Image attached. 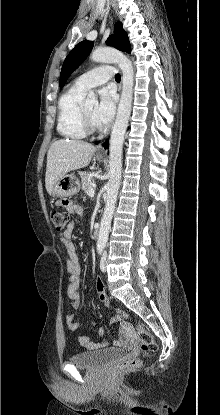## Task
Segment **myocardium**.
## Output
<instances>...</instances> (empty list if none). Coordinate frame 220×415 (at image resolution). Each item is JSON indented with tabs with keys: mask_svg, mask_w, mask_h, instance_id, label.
I'll return each instance as SVG.
<instances>
[{
	"mask_svg": "<svg viewBox=\"0 0 220 415\" xmlns=\"http://www.w3.org/2000/svg\"><path fill=\"white\" fill-rule=\"evenodd\" d=\"M80 119H81V125L86 134H94L99 130V126L92 123L90 120L86 110L85 105L82 104L80 109Z\"/></svg>",
	"mask_w": 220,
	"mask_h": 415,
	"instance_id": "myocardium-1",
	"label": "myocardium"
}]
</instances>
